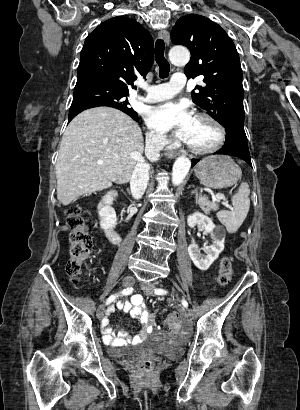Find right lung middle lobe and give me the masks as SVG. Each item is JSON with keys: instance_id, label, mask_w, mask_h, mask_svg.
<instances>
[{"instance_id": "obj_1", "label": "right lung middle lobe", "mask_w": 300, "mask_h": 410, "mask_svg": "<svg viewBox=\"0 0 300 410\" xmlns=\"http://www.w3.org/2000/svg\"><path fill=\"white\" fill-rule=\"evenodd\" d=\"M126 96H129V93L103 84L92 82L76 83L69 114H74L92 107L109 106L137 115V113L129 107V101Z\"/></svg>"}]
</instances>
